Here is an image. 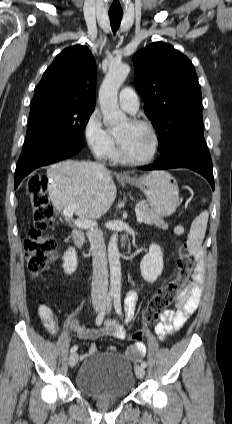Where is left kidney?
Here are the masks:
<instances>
[{
    "mask_svg": "<svg viewBox=\"0 0 232 424\" xmlns=\"http://www.w3.org/2000/svg\"><path fill=\"white\" fill-rule=\"evenodd\" d=\"M142 277L148 282H154L163 270V253L160 246L152 244L149 253L145 255L140 263Z\"/></svg>",
    "mask_w": 232,
    "mask_h": 424,
    "instance_id": "left-kidney-1",
    "label": "left kidney"
}]
</instances>
